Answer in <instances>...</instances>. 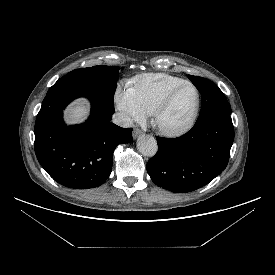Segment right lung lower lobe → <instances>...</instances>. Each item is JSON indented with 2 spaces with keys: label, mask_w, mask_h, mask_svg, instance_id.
I'll return each instance as SVG.
<instances>
[{
  "label": "right lung lower lobe",
  "mask_w": 275,
  "mask_h": 275,
  "mask_svg": "<svg viewBox=\"0 0 275 275\" xmlns=\"http://www.w3.org/2000/svg\"><path fill=\"white\" fill-rule=\"evenodd\" d=\"M91 101V116L66 126L63 109L78 97ZM114 107L102 97L69 92L45 97L35 123V153L39 163L59 184L88 189L102 185L112 170L113 152L132 141V129L113 124Z\"/></svg>",
  "instance_id": "98d812e1"
}]
</instances>
